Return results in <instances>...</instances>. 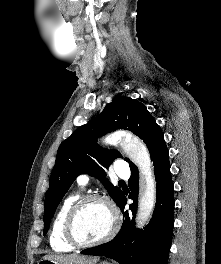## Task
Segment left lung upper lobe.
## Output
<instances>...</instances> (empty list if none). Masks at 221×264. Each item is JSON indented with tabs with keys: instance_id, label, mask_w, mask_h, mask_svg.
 Here are the masks:
<instances>
[{
	"instance_id": "obj_1",
	"label": "left lung upper lobe",
	"mask_w": 221,
	"mask_h": 264,
	"mask_svg": "<svg viewBox=\"0 0 221 264\" xmlns=\"http://www.w3.org/2000/svg\"><path fill=\"white\" fill-rule=\"evenodd\" d=\"M116 129H126L139 136L147 145L151 158L164 141L161 128L145 105L130 97H116L96 118L75 130L59 146L49 189L45 194L44 235L57 206L80 174L97 177L119 205L124 194L105 178L101 166L108 168L121 154L116 150L101 148L96 143L98 137ZM125 160L129 162L131 172L138 171L134 163L127 158Z\"/></svg>"
}]
</instances>
